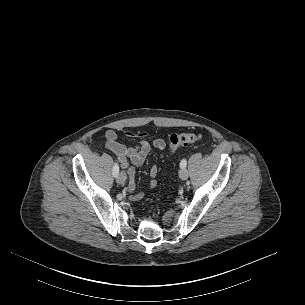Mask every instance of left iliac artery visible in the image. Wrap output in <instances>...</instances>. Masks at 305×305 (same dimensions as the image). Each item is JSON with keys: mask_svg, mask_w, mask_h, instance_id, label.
Segmentation results:
<instances>
[{"mask_svg": "<svg viewBox=\"0 0 305 305\" xmlns=\"http://www.w3.org/2000/svg\"><path fill=\"white\" fill-rule=\"evenodd\" d=\"M186 165H187L186 159H182L181 162H180V167H181V168H185Z\"/></svg>", "mask_w": 305, "mask_h": 305, "instance_id": "left-iliac-artery-1", "label": "left iliac artery"}]
</instances>
